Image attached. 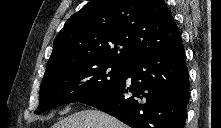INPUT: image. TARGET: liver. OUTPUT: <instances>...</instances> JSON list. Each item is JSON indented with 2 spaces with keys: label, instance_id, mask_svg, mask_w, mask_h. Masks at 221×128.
Returning a JSON list of instances; mask_svg holds the SVG:
<instances>
[{
  "label": "liver",
  "instance_id": "6515ba94",
  "mask_svg": "<svg viewBox=\"0 0 221 128\" xmlns=\"http://www.w3.org/2000/svg\"><path fill=\"white\" fill-rule=\"evenodd\" d=\"M52 128H128L116 118L99 110L76 112L56 123Z\"/></svg>",
  "mask_w": 221,
  "mask_h": 128
}]
</instances>
